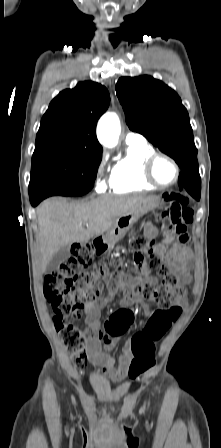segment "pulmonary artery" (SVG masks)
Instances as JSON below:
<instances>
[{
  "instance_id": "1",
  "label": "pulmonary artery",
  "mask_w": 221,
  "mask_h": 448,
  "mask_svg": "<svg viewBox=\"0 0 221 448\" xmlns=\"http://www.w3.org/2000/svg\"><path fill=\"white\" fill-rule=\"evenodd\" d=\"M125 142L127 144H136V143H143L146 142V139L143 135L136 133V132H128L125 137Z\"/></svg>"
}]
</instances>
